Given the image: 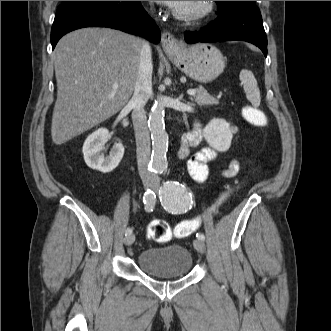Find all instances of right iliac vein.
Masks as SVG:
<instances>
[{
    "label": "right iliac vein",
    "mask_w": 331,
    "mask_h": 331,
    "mask_svg": "<svg viewBox=\"0 0 331 331\" xmlns=\"http://www.w3.org/2000/svg\"><path fill=\"white\" fill-rule=\"evenodd\" d=\"M150 185H151L150 181H148V180L145 181V183H144L145 187H148ZM134 240H135V236L133 234H129V235L125 236L124 243H125V245L129 246V245L133 244Z\"/></svg>",
    "instance_id": "1"
}]
</instances>
